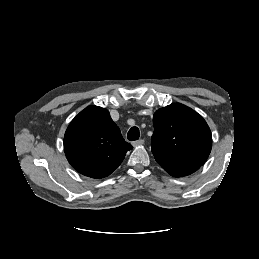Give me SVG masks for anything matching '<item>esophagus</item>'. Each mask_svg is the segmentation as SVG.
Listing matches in <instances>:
<instances>
[{"mask_svg":"<svg viewBox=\"0 0 259 259\" xmlns=\"http://www.w3.org/2000/svg\"><path fill=\"white\" fill-rule=\"evenodd\" d=\"M143 144H144V140L140 139V140L134 141L132 145L134 147H137V146H140V145H143Z\"/></svg>","mask_w":259,"mask_h":259,"instance_id":"34e87169","label":"esophagus"}]
</instances>
